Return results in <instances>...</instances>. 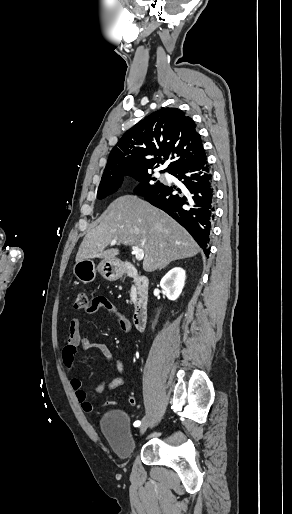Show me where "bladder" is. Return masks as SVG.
<instances>
[{"label": "bladder", "instance_id": "1", "mask_svg": "<svg viewBox=\"0 0 292 514\" xmlns=\"http://www.w3.org/2000/svg\"><path fill=\"white\" fill-rule=\"evenodd\" d=\"M101 432L113 451L120 458H128L135 450L132 438L130 419L121 409L106 412L101 420Z\"/></svg>", "mask_w": 292, "mask_h": 514}]
</instances>
